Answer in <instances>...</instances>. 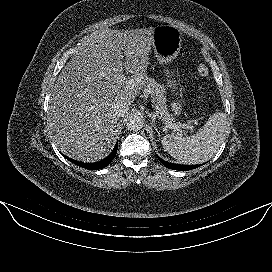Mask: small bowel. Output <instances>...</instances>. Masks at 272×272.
Returning <instances> with one entry per match:
<instances>
[{
    "instance_id": "c3829d8e",
    "label": "small bowel",
    "mask_w": 272,
    "mask_h": 272,
    "mask_svg": "<svg viewBox=\"0 0 272 272\" xmlns=\"http://www.w3.org/2000/svg\"><path fill=\"white\" fill-rule=\"evenodd\" d=\"M171 86H172V87H174V84H173V82H171Z\"/></svg>"
}]
</instances>
